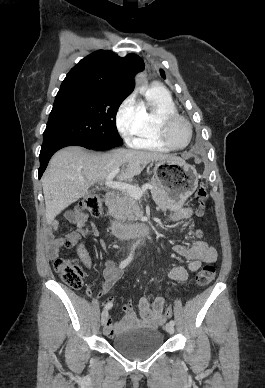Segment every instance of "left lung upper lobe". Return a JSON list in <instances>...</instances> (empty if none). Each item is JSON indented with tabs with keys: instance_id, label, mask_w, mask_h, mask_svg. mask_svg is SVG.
Returning a JSON list of instances; mask_svg holds the SVG:
<instances>
[{
	"instance_id": "obj_1",
	"label": "left lung upper lobe",
	"mask_w": 265,
	"mask_h": 388,
	"mask_svg": "<svg viewBox=\"0 0 265 388\" xmlns=\"http://www.w3.org/2000/svg\"><path fill=\"white\" fill-rule=\"evenodd\" d=\"M160 74H161V76L163 77V78H165V73H164V71L161 69L160 70Z\"/></svg>"
}]
</instances>
